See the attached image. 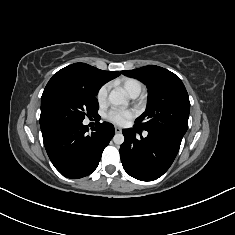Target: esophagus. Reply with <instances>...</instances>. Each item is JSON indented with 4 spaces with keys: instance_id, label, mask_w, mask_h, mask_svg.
<instances>
[{
    "instance_id": "1",
    "label": "esophagus",
    "mask_w": 235,
    "mask_h": 235,
    "mask_svg": "<svg viewBox=\"0 0 235 235\" xmlns=\"http://www.w3.org/2000/svg\"><path fill=\"white\" fill-rule=\"evenodd\" d=\"M122 129L120 127H115V133H120Z\"/></svg>"
}]
</instances>
